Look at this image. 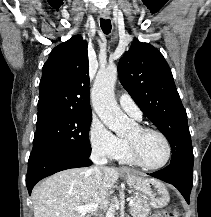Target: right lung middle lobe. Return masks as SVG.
<instances>
[{"label":"right lung middle lobe","mask_w":211,"mask_h":217,"mask_svg":"<svg viewBox=\"0 0 211 217\" xmlns=\"http://www.w3.org/2000/svg\"><path fill=\"white\" fill-rule=\"evenodd\" d=\"M92 114L56 113L37 120L33 150L55 148L90 155L89 129Z\"/></svg>","instance_id":"right-lung-middle-lobe-1"}]
</instances>
